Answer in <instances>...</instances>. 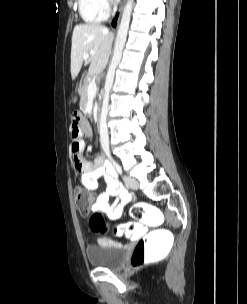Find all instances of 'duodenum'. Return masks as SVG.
Instances as JSON below:
<instances>
[{
	"label": "duodenum",
	"mask_w": 247,
	"mask_h": 304,
	"mask_svg": "<svg viewBox=\"0 0 247 304\" xmlns=\"http://www.w3.org/2000/svg\"><path fill=\"white\" fill-rule=\"evenodd\" d=\"M85 81H86L85 78H83V77L80 78V80L78 81L79 89H82L83 83H85ZM95 121H96V123H97V124H96L97 126H96L95 128L98 130V129H100V125H101V124L99 123V122H100V116H99V114H96V115H95Z\"/></svg>",
	"instance_id": "duodenum-1"
}]
</instances>
